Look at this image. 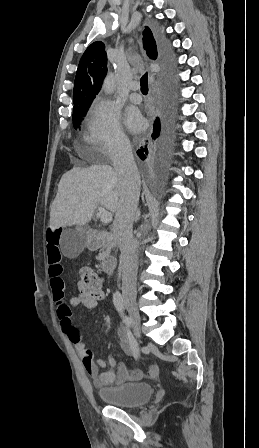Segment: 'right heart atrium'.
<instances>
[{
  "instance_id": "right-heart-atrium-1",
  "label": "right heart atrium",
  "mask_w": 259,
  "mask_h": 448,
  "mask_svg": "<svg viewBox=\"0 0 259 448\" xmlns=\"http://www.w3.org/2000/svg\"><path fill=\"white\" fill-rule=\"evenodd\" d=\"M86 143L98 157H115L128 144L118 113L103 98L96 97L90 106Z\"/></svg>"
}]
</instances>
